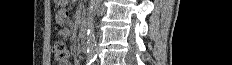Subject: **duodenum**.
I'll list each match as a JSON object with an SVG mask.
<instances>
[{
	"label": "duodenum",
	"instance_id": "obj_1",
	"mask_svg": "<svg viewBox=\"0 0 232 65\" xmlns=\"http://www.w3.org/2000/svg\"><path fill=\"white\" fill-rule=\"evenodd\" d=\"M80 40L82 44L86 42V26L83 24L80 29Z\"/></svg>",
	"mask_w": 232,
	"mask_h": 65
}]
</instances>
